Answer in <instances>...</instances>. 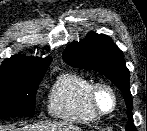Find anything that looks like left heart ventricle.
I'll return each instance as SVG.
<instances>
[{"label":"left heart ventricle","mask_w":147,"mask_h":131,"mask_svg":"<svg viewBox=\"0 0 147 131\" xmlns=\"http://www.w3.org/2000/svg\"><path fill=\"white\" fill-rule=\"evenodd\" d=\"M97 99L101 109L109 110L112 107L113 99L109 91L105 89L100 90Z\"/></svg>","instance_id":"b2bd125f"}]
</instances>
